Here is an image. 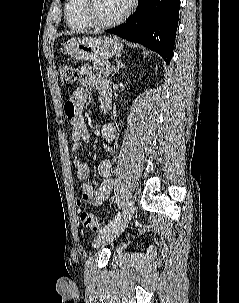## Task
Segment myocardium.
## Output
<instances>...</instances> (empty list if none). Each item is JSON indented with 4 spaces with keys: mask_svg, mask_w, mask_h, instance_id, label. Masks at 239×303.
<instances>
[{
    "mask_svg": "<svg viewBox=\"0 0 239 303\" xmlns=\"http://www.w3.org/2000/svg\"><path fill=\"white\" fill-rule=\"evenodd\" d=\"M94 3L95 0H82L80 5V12L86 23H88L91 27L99 29L114 27L121 24L130 15L133 8L132 1L130 0L128 1L126 10L120 16L114 20L102 22L95 19L93 15Z\"/></svg>",
    "mask_w": 239,
    "mask_h": 303,
    "instance_id": "myocardium-1",
    "label": "myocardium"
}]
</instances>
